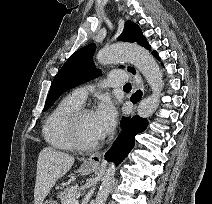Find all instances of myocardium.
Masks as SVG:
<instances>
[{"instance_id":"obj_1","label":"myocardium","mask_w":212,"mask_h":204,"mask_svg":"<svg viewBox=\"0 0 212 204\" xmlns=\"http://www.w3.org/2000/svg\"><path fill=\"white\" fill-rule=\"evenodd\" d=\"M93 112V109L90 107L81 106L80 108L73 111L66 119L65 129L67 136L76 150L80 151H92L98 148L101 144V139L94 143H85L79 133V123L81 118Z\"/></svg>"}]
</instances>
